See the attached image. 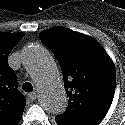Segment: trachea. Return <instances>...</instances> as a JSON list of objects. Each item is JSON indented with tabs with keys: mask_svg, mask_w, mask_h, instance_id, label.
Instances as JSON below:
<instances>
[{
	"mask_svg": "<svg viewBox=\"0 0 125 125\" xmlns=\"http://www.w3.org/2000/svg\"><path fill=\"white\" fill-rule=\"evenodd\" d=\"M22 89H23L25 92H32V91H33V86H32L31 83L25 82V83L22 85Z\"/></svg>",
	"mask_w": 125,
	"mask_h": 125,
	"instance_id": "trachea-1",
	"label": "trachea"
}]
</instances>
